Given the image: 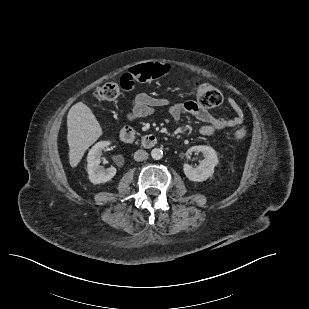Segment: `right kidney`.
Masks as SVG:
<instances>
[{
	"instance_id": "ca27d5eb",
	"label": "right kidney",
	"mask_w": 309,
	"mask_h": 309,
	"mask_svg": "<svg viewBox=\"0 0 309 309\" xmlns=\"http://www.w3.org/2000/svg\"><path fill=\"white\" fill-rule=\"evenodd\" d=\"M110 144L109 141H100L96 143L89 151L87 156V172L89 180L93 184H101L110 181L116 175V168L109 167L104 169L100 166V156L102 150Z\"/></svg>"
}]
</instances>
